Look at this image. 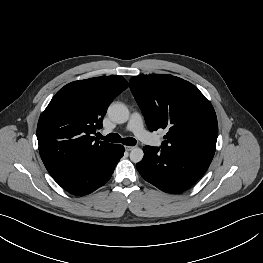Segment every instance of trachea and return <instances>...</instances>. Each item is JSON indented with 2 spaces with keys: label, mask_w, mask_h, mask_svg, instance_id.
Returning <instances> with one entry per match:
<instances>
[{
  "label": "trachea",
  "mask_w": 263,
  "mask_h": 263,
  "mask_svg": "<svg viewBox=\"0 0 263 263\" xmlns=\"http://www.w3.org/2000/svg\"><path fill=\"white\" fill-rule=\"evenodd\" d=\"M98 137L108 142L122 143L127 146H134L136 144V140L134 138L127 137L122 139L120 135L116 133H110L106 137H103L101 134H99Z\"/></svg>",
  "instance_id": "3493384b"
}]
</instances>
